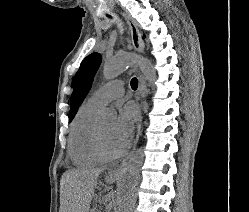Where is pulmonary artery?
Wrapping results in <instances>:
<instances>
[{
  "label": "pulmonary artery",
  "instance_id": "1",
  "mask_svg": "<svg viewBox=\"0 0 249 212\" xmlns=\"http://www.w3.org/2000/svg\"><path fill=\"white\" fill-rule=\"evenodd\" d=\"M124 95V82L120 79L112 80L98 88L90 97L89 101L102 108L114 99Z\"/></svg>",
  "mask_w": 249,
  "mask_h": 212
}]
</instances>
